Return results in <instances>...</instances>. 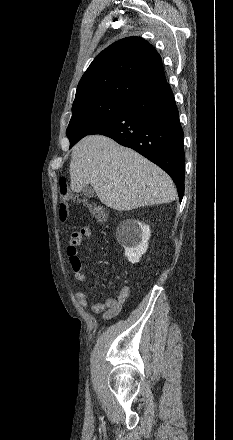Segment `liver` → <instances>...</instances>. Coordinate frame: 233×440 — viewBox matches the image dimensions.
<instances>
[{
	"mask_svg": "<svg viewBox=\"0 0 233 440\" xmlns=\"http://www.w3.org/2000/svg\"><path fill=\"white\" fill-rule=\"evenodd\" d=\"M69 171L73 192L91 184L100 201L118 211L176 197L172 179L161 168L103 135L86 136L74 146Z\"/></svg>",
	"mask_w": 233,
	"mask_h": 440,
	"instance_id": "liver-1",
	"label": "liver"
}]
</instances>
